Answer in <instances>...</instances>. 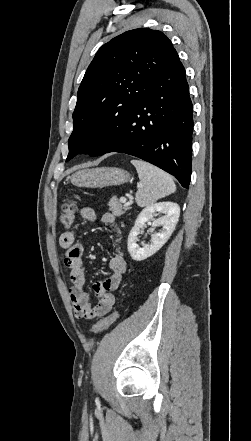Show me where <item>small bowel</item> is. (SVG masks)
<instances>
[{
  "label": "small bowel",
  "instance_id": "1",
  "mask_svg": "<svg viewBox=\"0 0 251 441\" xmlns=\"http://www.w3.org/2000/svg\"><path fill=\"white\" fill-rule=\"evenodd\" d=\"M78 215L86 221L96 219L94 209L88 206L80 208ZM101 221L112 234L114 251L109 261L111 274L93 284V291L98 298L95 305L84 290L86 278L82 262L83 244L76 240L75 234L71 231L63 232L59 238L60 246L65 250L64 265L70 270L69 296L75 315L79 318L91 319L109 313L116 301L114 292L120 287L122 276L127 270L125 253L121 247L122 232L115 216L112 213H104Z\"/></svg>",
  "mask_w": 251,
  "mask_h": 441
}]
</instances>
